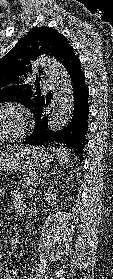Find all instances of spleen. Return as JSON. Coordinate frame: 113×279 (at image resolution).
Instances as JSON below:
<instances>
[{
  "instance_id": "spleen-1",
  "label": "spleen",
  "mask_w": 113,
  "mask_h": 279,
  "mask_svg": "<svg viewBox=\"0 0 113 279\" xmlns=\"http://www.w3.org/2000/svg\"><path fill=\"white\" fill-rule=\"evenodd\" d=\"M53 154L56 156V160L61 166L65 165L69 161V154L62 148H50Z\"/></svg>"
}]
</instances>
